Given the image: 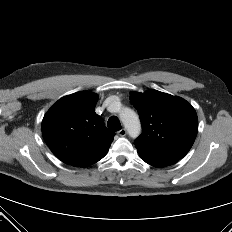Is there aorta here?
<instances>
[{"instance_id":"762f6f07","label":"aorta","mask_w":232,"mask_h":232,"mask_svg":"<svg viewBox=\"0 0 232 232\" xmlns=\"http://www.w3.org/2000/svg\"><path fill=\"white\" fill-rule=\"evenodd\" d=\"M120 119L132 138H136L141 132V124L138 115L130 108L120 111Z\"/></svg>"}]
</instances>
